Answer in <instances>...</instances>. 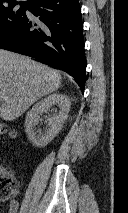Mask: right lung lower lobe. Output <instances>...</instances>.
I'll return each mask as SVG.
<instances>
[{
	"instance_id": "98d812e1",
	"label": "right lung lower lobe",
	"mask_w": 128,
	"mask_h": 213,
	"mask_svg": "<svg viewBox=\"0 0 128 213\" xmlns=\"http://www.w3.org/2000/svg\"><path fill=\"white\" fill-rule=\"evenodd\" d=\"M28 9L39 21L26 18L0 41V48L67 72L84 91L86 58L79 0H35Z\"/></svg>"
}]
</instances>
